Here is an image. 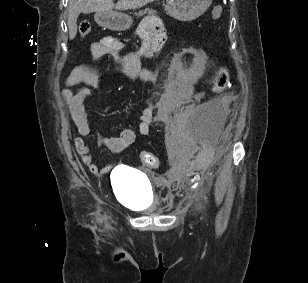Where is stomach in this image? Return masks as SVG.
<instances>
[{"label": "stomach", "mask_w": 308, "mask_h": 283, "mask_svg": "<svg viewBox=\"0 0 308 283\" xmlns=\"http://www.w3.org/2000/svg\"><path fill=\"white\" fill-rule=\"evenodd\" d=\"M212 0H168L165 10L179 21H192L201 16L210 6ZM96 22L110 30L122 31L129 29L132 19L122 13L98 12L95 14Z\"/></svg>", "instance_id": "0dacf381"}]
</instances>
